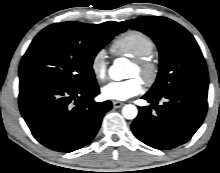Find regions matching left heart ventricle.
<instances>
[{
	"mask_svg": "<svg viewBox=\"0 0 220 173\" xmlns=\"http://www.w3.org/2000/svg\"><path fill=\"white\" fill-rule=\"evenodd\" d=\"M128 76L129 77H136V76H138V70H137V68L133 64L129 68Z\"/></svg>",
	"mask_w": 220,
	"mask_h": 173,
	"instance_id": "1",
	"label": "left heart ventricle"
}]
</instances>
